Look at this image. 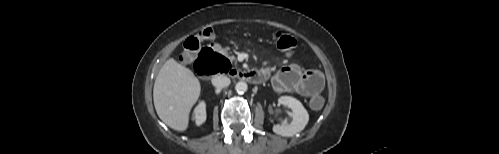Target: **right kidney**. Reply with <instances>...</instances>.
<instances>
[{"mask_svg":"<svg viewBox=\"0 0 499 154\" xmlns=\"http://www.w3.org/2000/svg\"><path fill=\"white\" fill-rule=\"evenodd\" d=\"M193 119L197 126L203 124L206 120V105L205 102H200L194 110Z\"/></svg>","mask_w":499,"mask_h":154,"instance_id":"obj_1","label":"right kidney"}]
</instances>
